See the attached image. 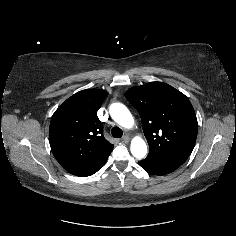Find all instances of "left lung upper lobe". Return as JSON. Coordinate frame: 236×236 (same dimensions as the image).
I'll return each mask as SVG.
<instances>
[{
    "mask_svg": "<svg viewBox=\"0 0 236 236\" xmlns=\"http://www.w3.org/2000/svg\"><path fill=\"white\" fill-rule=\"evenodd\" d=\"M125 96L141 117L149 144L145 159L182 165L194 148L198 131L196 114L189 99L161 82L133 87Z\"/></svg>",
    "mask_w": 236,
    "mask_h": 236,
    "instance_id": "obj_1",
    "label": "left lung upper lobe"
}]
</instances>
